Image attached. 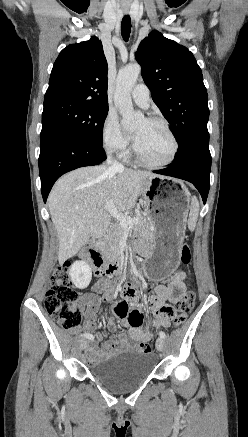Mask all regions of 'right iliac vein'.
<instances>
[{
	"mask_svg": "<svg viewBox=\"0 0 248 437\" xmlns=\"http://www.w3.org/2000/svg\"><path fill=\"white\" fill-rule=\"evenodd\" d=\"M88 346V341L86 339H81L79 342V347L81 350H85Z\"/></svg>",
	"mask_w": 248,
	"mask_h": 437,
	"instance_id": "right-iliac-vein-1",
	"label": "right iliac vein"
}]
</instances>
